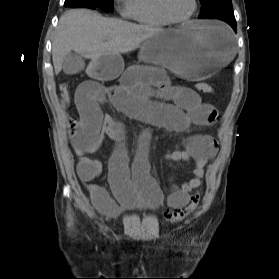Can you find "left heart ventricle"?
<instances>
[{
	"mask_svg": "<svg viewBox=\"0 0 279 279\" xmlns=\"http://www.w3.org/2000/svg\"><path fill=\"white\" fill-rule=\"evenodd\" d=\"M166 8L176 18L185 17L193 8V0H166Z\"/></svg>",
	"mask_w": 279,
	"mask_h": 279,
	"instance_id": "1",
	"label": "left heart ventricle"
}]
</instances>
